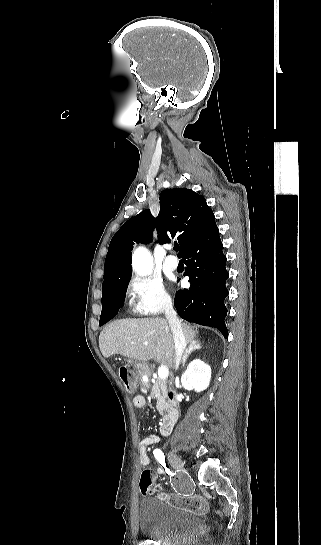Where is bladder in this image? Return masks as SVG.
I'll use <instances>...</instances> for the list:
<instances>
[{"label":"bladder","mask_w":321,"mask_h":545,"mask_svg":"<svg viewBox=\"0 0 321 545\" xmlns=\"http://www.w3.org/2000/svg\"><path fill=\"white\" fill-rule=\"evenodd\" d=\"M138 526L144 536L160 545H191L202 532L203 521L196 512L155 494L140 500Z\"/></svg>","instance_id":"31cf9c89"}]
</instances>
